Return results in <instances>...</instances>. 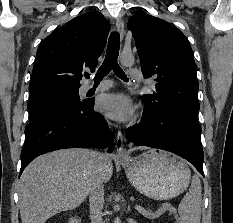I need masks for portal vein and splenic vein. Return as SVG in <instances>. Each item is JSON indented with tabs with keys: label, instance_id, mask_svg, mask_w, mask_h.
<instances>
[{
	"label": "portal vein and splenic vein",
	"instance_id": "obj_1",
	"mask_svg": "<svg viewBox=\"0 0 233 223\" xmlns=\"http://www.w3.org/2000/svg\"><path fill=\"white\" fill-rule=\"evenodd\" d=\"M136 209H138L139 213L145 215V217H159V215H162L160 211H154V213H151V211H147V209H144L141 205H136Z\"/></svg>",
	"mask_w": 233,
	"mask_h": 223
}]
</instances>
